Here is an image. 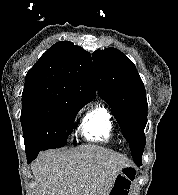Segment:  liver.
Segmentation results:
<instances>
[{
  "mask_svg": "<svg viewBox=\"0 0 178 195\" xmlns=\"http://www.w3.org/2000/svg\"><path fill=\"white\" fill-rule=\"evenodd\" d=\"M129 160L95 145L41 153L31 166L37 195H109Z\"/></svg>",
  "mask_w": 178,
  "mask_h": 195,
  "instance_id": "obj_1",
  "label": "liver"
}]
</instances>
